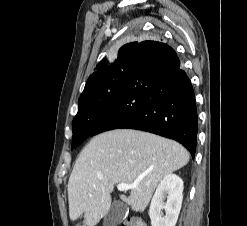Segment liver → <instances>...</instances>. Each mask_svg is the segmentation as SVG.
I'll use <instances>...</instances> for the list:
<instances>
[{
	"mask_svg": "<svg viewBox=\"0 0 247 226\" xmlns=\"http://www.w3.org/2000/svg\"><path fill=\"white\" fill-rule=\"evenodd\" d=\"M189 153L176 141L132 129H116L91 139L80 153L68 181L69 216L95 226L111 207L115 184H136L120 198L143 212L158 183L184 167Z\"/></svg>",
	"mask_w": 247,
	"mask_h": 226,
	"instance_id": "liver-1",
	"label": "liver"
}]
</instances>
